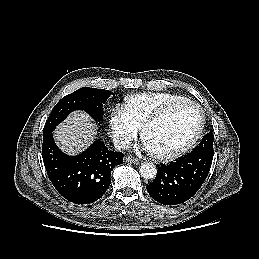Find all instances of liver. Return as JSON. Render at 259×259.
<instances>
[{
	"label": "liver",
	"mask_w": 259,
	"mask_h": 259,
	"mask_svg": "<svg viewBox=\"0 0 259 259\" xmlns=\"http://www.w3.org/2000/svg\"><path fill=\"white\" fill-rule=\"evenodd\" d=\"M96 125L83 112H75L55 130V140L62 151L75 155L87 148L96 135Z\"/></svg>",
	"instance_id": "liver-1"
}]
</instances>
